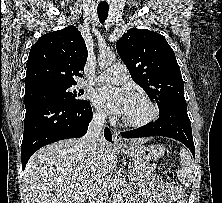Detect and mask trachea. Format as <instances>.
I'll return each mask as SVG.
<instances>
[{"label":"trachea","mask_w":222,"mask_h":203,"mask_svg":"<svg viewBox=\"0 0 222 203\" xmlns=\"http://www.w3.org/2000/svg\"><path fill=\"white\" fill-rule=\"evenodd\" d=\"M108 9H109L108 4L98 5L97 13H98V18H99L100 23L105 22L108 16Z\"/></svg>","instance_id":"3493384b"}]
</instances>
